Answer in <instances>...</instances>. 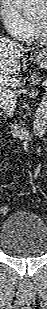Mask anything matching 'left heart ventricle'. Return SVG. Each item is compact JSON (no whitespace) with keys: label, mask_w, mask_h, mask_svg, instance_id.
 Here are the masks:
<instances>
[{"label":"left heart ventricle","mask_w":47,"mask_h":309,"mask_svg":"<svg viewBox=\"0 0 47 309\" xmlns=\"http://www.w3.org/2000/svg\"><path fill=\"white\" fill-rule=\"evenodd\" d=\"M34 24H37L41 29L46 28V12L42 11L40 14L33 17Z\"/></svg>","instance_id":"left-heart-ventricle-1"}]
</instances>
